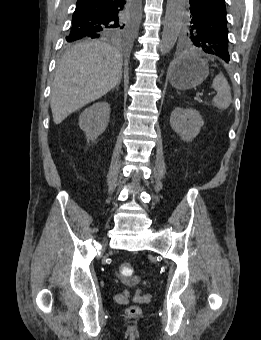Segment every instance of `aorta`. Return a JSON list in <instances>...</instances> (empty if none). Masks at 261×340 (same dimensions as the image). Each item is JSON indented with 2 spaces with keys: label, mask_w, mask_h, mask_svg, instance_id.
Segmentation results:
<instances>
[{
  "label": "aorta",
  "mask_w": 261,
  "mask_h": 340,
  "mask_svg": "<svg viewBox=\"0 0 261 340\" xmlns=\"http://www.w3.org/2000/svg\"><path fill=\"white\" fill-rule=\"evenodd\" d=\"M186 0H167L164 27L159 51L165 55L174 47L179 36Z\"/></svg>",
  "instance_id": "aorta-1"
}]
</instances>
